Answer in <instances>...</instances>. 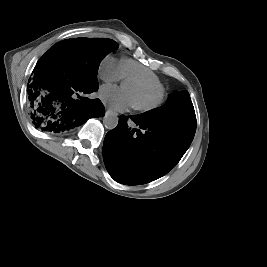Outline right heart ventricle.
Masks as SVG:
<instances>
[{
  "label": "right heart ventricle",
  "instance_id": "obj_1",
  "mask_svg": "<svg viewBox=\"0 0 267 267\" xmlns=\"http://www.w3.org/2000/svg\"><path fill=\"white\" fill-rule=\"evenodd\" d=\"M120 66L123 78L128 80L132 77H138L152 85L159 86L163 90L161 79L148 67L131 59H122Z\"/></svg>",
  "mask_w": 267,
  "mask_h": 267
}]
</instances>
